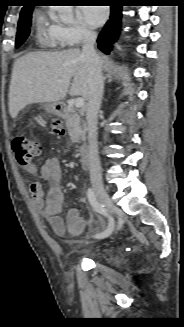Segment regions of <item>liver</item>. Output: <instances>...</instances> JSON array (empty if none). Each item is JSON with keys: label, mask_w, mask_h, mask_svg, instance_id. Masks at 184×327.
I'll return each mask as SVG.
<instances>
[{"label": "liver", "mask_w": 184, "mask_h": 327, "mask_svg": "<svg viewBox=\"0 0 184 327\" xmlns=\"http://www.w3.org/2000/svg\"><path fill=\"white\" fill-rule=\"evenodd\" d=\"M99 58L109 71L111 62L105 56ZM89 84L88 64L79 49L25 54L13 66L9 87L10 116L16 118L29 104L57 103L67 93L88 100Z\"/></svg>", "instance_id": "liver-1"}]
</instances>
